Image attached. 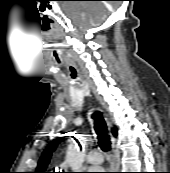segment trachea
<instances>
[{
    "mask_svg": "<svg viewBox=\"0 0 170 173\" xmlns=\"http://www.w3.org/2000/svg\"><path fill=\"white\" fill-rule=\"evenodd\" d=\"M92 119L94 120V130L97 134L98 144L102 150H110V140L107 135V126L106 123L99 111H96L92 114Z\"/></svg>",
    "mask_w": 170,
    "mask_h": 173,
    "instance_id": "1",
    "label": "trachea"
}]
</instances>
